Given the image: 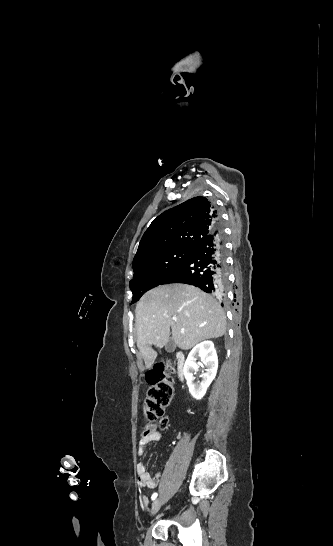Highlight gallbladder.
<instances>
[{
	"mask_svg": "<svg viewBox=\"0 0 333 546\" xmlns=\"http://www.w3.org/2000/svg\"><path fill=\"white\" fill-rule=\"evenodd\" d=\"M175 349H176V344L174 343L172 339H170L168 343L165 345V350L168 353H172L175 351Z\"/></svg>",
	"mask_w": 333,
	"mask_h": 546,
	"instance_id": "obj_1",
	"label": "gallbladder"
}]
</instances>
